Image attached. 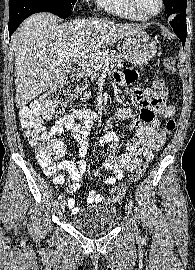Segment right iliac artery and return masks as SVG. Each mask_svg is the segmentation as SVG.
Segmentation results:
<instances>
[{
    "label": "right iliac artery",
    "instance_id": "right-iliac-artery-1",
    "mask_svg": "<svg viewBox=\"0 0 195 270\" xmlns=\"http://www.w3.org/2000/svg\"><path fill=\"white\" fill-rule=\"evenodd\" d=\"M62 199H63V195H60L58 198V201H62Z\"/></svg>",
    "mask_w": 195,
    "mask_h": 270
}]
</instances>
